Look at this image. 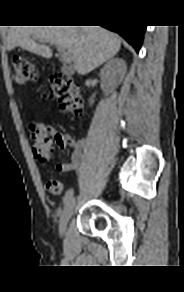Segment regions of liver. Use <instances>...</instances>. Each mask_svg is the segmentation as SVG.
<instances>
[{
	"label": "liver",
	"mask_w": 184,
	"mask_h": 292,
	"mask_svg": "<svg viewBox=\"0 0 184 292\" xmlns=\"http://www.w3.org/2000/svg\"><path fill=\"white\" fill-rule=\"evenodd\" d=\"M34 39L64 48L71 55L74 69L85 75L114 57L121 47L119 37L100 26H13L8 31L7 49L17 46L45 58L52 50Z\"/></svg>",
	"instance_id": "1"
}]
</instances>
